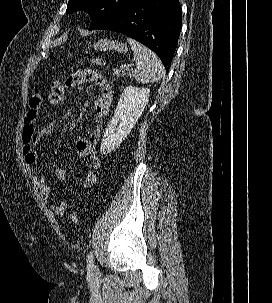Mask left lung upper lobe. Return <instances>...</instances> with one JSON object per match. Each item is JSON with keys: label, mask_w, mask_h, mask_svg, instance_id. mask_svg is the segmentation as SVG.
Returning a JSON list of instances; mask_svg holds the SVG:
<instances>
[{"label": "left lung upper lobe", "mask_w": 272, "mask_h": 303, "mask_svg": "<svg viewBox=\"0 0 272 303\" xmlns=\"http://www.w3.org/2000/svg\"><path fill=\"white\" fill-rule=\"evenodd\" d=\"M139 0H70L67 13L87 11L92 17L89 30H94L107 20L132 6Z\"/></svg>", "instance_id": "left-lung-upper-lobe-1"}]
</instances>
